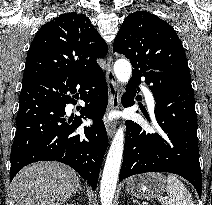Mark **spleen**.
Instances as JSON below:
<instances>
[{
    "mask_svg": "<svg viewBox=\"0 0 212 205\" xmlns=\"http://www.w3.org/2000/svg\"><path fill=\"white\" fill-rule=\"evenodd\" d=\"M149 177H161L166 181V192L162 205H194L193 198L185 185L174 175L163 176L160 174H149Z\"/></svg>",
    "mask_w": 212,
    "mask_h": 205,
    "instance_id": "3e777b00",
    "label": "spleen"
}]
</instances>
